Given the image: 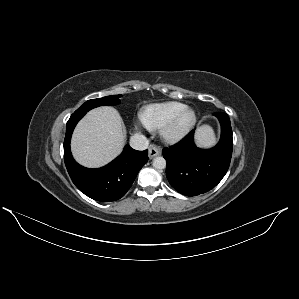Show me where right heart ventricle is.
Instances as JSON below:
<instances>
[{
	"label": "right heart ventricle",
	"instance_id": "e07e8e85",
	"mask_svg": "<svg viewBox=\"0 0 299 299\" xmlns=\"http://www.w3.org/2000/svg\"><path fill=\"white\" fill-rule=\"evenodd\" d=\"M185 107V104L176 101L151 104L143 109L141 118L146 127L157 129L163 127Z\"/></svg>",
	"mask_w": 299,
	"mask_h": 299
}]
</instances>
